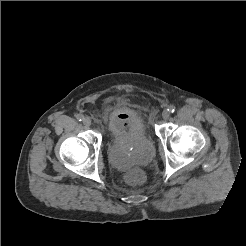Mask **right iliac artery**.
<instances>
[{
  "label": "right iliac artery",
  "instance_id": "82829eb1",
  "mask_svg": "<svg viewBox=\"0 0 246 246\" xmlns=\"http://www.w3.org/2000/svg\"><path fill=\"white\" fill-rule=\"evenodd\" d=\"M76 118L77 120L82 121L84 119V116L82 114H78Z\"/></svg>",
  "mask_w": 246,
  "mask_h": 246
}]
</instances>
